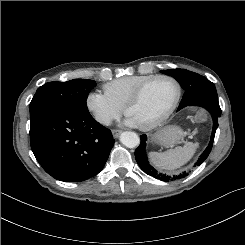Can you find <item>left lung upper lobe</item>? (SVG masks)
I'll use <instances>...</instances> for the list:
<instances>
[{"instance_id":"1","label":"left lung upper lobe","mask_w":245,"mask_h":245,"mask_svg":"<svg viewBox=\"0 0 245 245\" xmlns=\"http://www.w3.org/2000/svg\"><path fill=\"white\" fill-rule=\"evenodd\" d=\"M174 77L185 90L178 110L201 101H218L214 84L206 77L185 69L162 70Z\"/></svg>"}]
</instances>
